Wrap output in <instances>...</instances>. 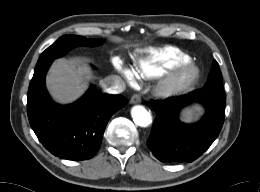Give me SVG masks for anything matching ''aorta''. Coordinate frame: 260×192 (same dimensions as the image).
Here are the masks:
<instances>
[{
    "label": "aorta",
    "instance_id": "762f6f07",
    "mask_svg": "<svg viewBox=\"0 0 260 192\" xmlns=\"http://www.w3.org/2000/svg\"><path fill=\"white\" fill-rule=\"evenodd\" d=\"M131 116L136 125L147 127L152 122L150 112L142 105H136L131 109Z\"/></svg>",
    "mask_w": 260,
    "mask_h": 192
}]
</instances>
